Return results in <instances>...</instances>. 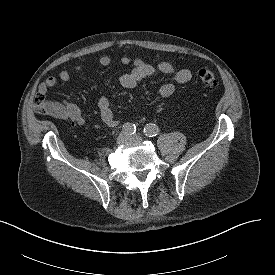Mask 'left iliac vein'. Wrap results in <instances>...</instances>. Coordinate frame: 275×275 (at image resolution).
Wrapping results in <instances>:
<instances>
[{
	"label": "left iliac vein",
	"mask_w": 275,
	"mask_h": 275,
	"mask_svg": "<svg viewBox=\"0 0 275 275\" xmlns=\"http://www.w3.org/2000/svg\"><path fill=\"white\" fill-rule=\"evenodd\" d=\"M143 139L139 135H134L131 137L132 142H141Z\"/></svg>",
	"instance_id": "1"
}]
</instances>
